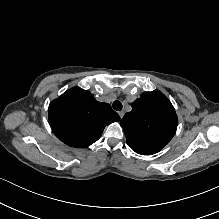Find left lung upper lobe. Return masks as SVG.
Segmentation results:
<instances>
[{"instance_id":"5c2ea615","label":"left lung upper lobe","mask_w":219,"mask_h":219,"mask_svg":"<svg viewBox=\"0 0 219 219\" xmlns=\"http://www.w3.org/2000/svg\"><path fill=\"white\" fill-rule=\"evenodd\" d=\"M125 114L121 126L128 146L138 154L152 155L174 136L178 119L169 99L159 90L144 92Z\"/></svg>"}]
</instances>
